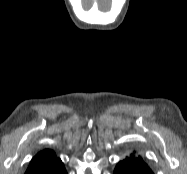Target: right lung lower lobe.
<instances>
[{
	"instance_id": "1",
	"label": "right lung lower lobe",
	"mask_w": 187,
	"mask_h": 174,
	"mask_svg": "<svg viewBox=\"0 0 187 174\" xmlns=\"http://www.w3.org/2000/svg\"><path fill=\"white\" fill-rule=\"evenodd\" d=\"M58 174H67L65 168L61 170Z\"/></svg>"
}]
</instances>
